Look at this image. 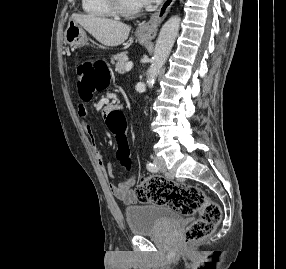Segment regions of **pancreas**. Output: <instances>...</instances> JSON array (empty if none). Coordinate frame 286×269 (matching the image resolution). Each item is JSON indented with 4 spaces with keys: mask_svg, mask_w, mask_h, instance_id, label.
<instances>
[{
    "mask_svg": "<svg viewBox=\"0 0 286 269\" xmlns=\"http://www.w3.org/2000/svg\"><path fill=\"white\" fill-rule=\"evenodd\" d=\"M128 61L126 52L117 54L111 58V63L115 65V71L118 73H124L125 67Z\"/></svg>",
    "mask_w": 286,
    "mask_h": 269,
    "instance_id": "pancreas-1",
    "label": "pancreas"
}]
</instances>
